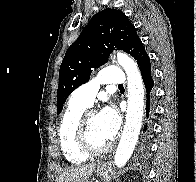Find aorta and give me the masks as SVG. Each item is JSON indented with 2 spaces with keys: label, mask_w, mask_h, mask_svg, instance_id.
Wrapping results in <instances>:
<instances>
[{
  "label": "aorta",
  "mask_w": 196,
  "mask_h": 182,
  "mask_svg": "<svg viewBox=\"0 0 196 182\" xmlns=\"http://www.w3.org/2000/svg\"><path fill=\"white\" fill-rule=\"evenodd\" d=\"M117 61L125 70L128 81L126 121L114 158L116 166L121 168L130 159L140 133L144 112V85L133 59L124 53H117Z\"/></svg>",
  "instance_id": "obj_1"
}]
</instances>
